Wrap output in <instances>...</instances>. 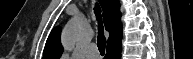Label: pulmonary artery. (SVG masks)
Instances as JSON below:
<instances>
[{"mask_svg":"<svg viewBox=\"0 0 193 59\" xmlns=\"http://www.w3.org/2000/svg\"><path fill=\"white\" fill-rule=\"evenodd\" d=\"M98 56L95 46L92 44L90 45L89 49L86 52V58L87 59H96Z\"/></svg>","mask_w":193,"mask_h":59,"instance_id":"1","label":"pulmonary artery"}]
</instances>
